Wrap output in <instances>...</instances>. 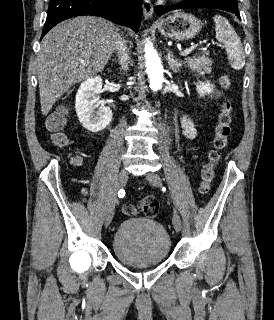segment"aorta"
<instances>
[{"mask_svg":"<svg viewBox=\"0 0 274 320\" xmlns=\"http://www.w3.org/2000/svg\"><path fill=\"white\" fill-rule=\"evenodd\" d=\"M144 57L150 88L152 91H159L164 82V69L159 55L154 49L152 43L148 40L145 43Z\"/></svg>","mask_w":274,"mask_h":320,"instance_id":"obj_1","label":"aorta"}]
</instances>
